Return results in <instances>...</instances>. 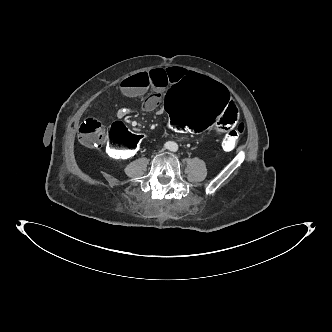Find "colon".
Returning a JSON list of instances; mask_svg holds the SVG:
<instances>
[{
	"label": "colon",
	"mask_w": 332,
	"mask_h": 332,
	"mask_svg": "<svg viewBox=\"0 0 332 332\" xmlns=\"http://www.w3.org/2000/svg\"><path fill=\"white\" fill-rule=\"evenodd\" d=\"M164 106L169 123L180 132L203 136L226 134L222 140L226 150L237 146L245 129L243 123L239 124L242 110L236 98L217 80L203 74H188L170 87ZM78 137L88 147L102 144L106 154L117 160L136 155L142 143L141 136L123 124H112L105 131L94 118L81 123Z\"/></svg>",
	"instance_id": "colon-1"
}]
</instances>
